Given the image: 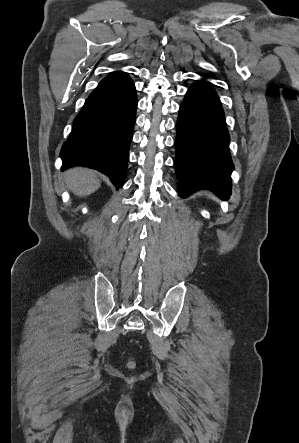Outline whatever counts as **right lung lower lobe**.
Here are the masks:
<instances>
[{
  "label": "right lung lower lobe",
  "mask_w": 299,
  "mask_h": 443,
  "mask_svg": "<svg viewBox=\"0 0 299 443\" xmlns=\"http://www.w3.org/2000/svg\"><path fill=\"white\" fill-rule=\"evenodd\" d=\"M137 96L127 73L114 72L89 95L62 146V170L74 165L97 169L123 186L133 135Z\"/></svg>",
  "instance_id": "obj_1"
}]
</instances>
